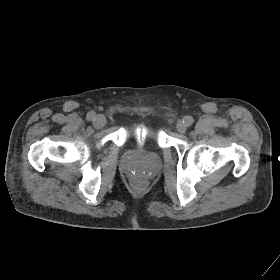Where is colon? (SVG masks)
<instances>
[{
  "label": "colon",
  "instance_id": "colon-1",
  "mask_svg": "<svg viewBox=\"0 0 280 280\" xmlns=\"http://www.w3.org/2000/svg\"><path fill=\"white\" fill-rule=\"evenodd\" d=\"M136 185H137L138 187H142V186L144 185V182H143V181H138V182L136 183Z\"/></svg>",
  "mask_w": 280,
  "mask_h": 280
}]
</instances>
